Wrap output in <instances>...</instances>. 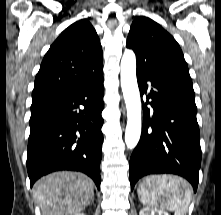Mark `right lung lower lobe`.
Wrapping results in <instances>:
<instances>
[{
    "label": "right lung lower lobe",
    "mask_w": 221,
    "mask_h": 215,
    "mask_svg": "<svg viewBox=\"0 0 221 215\" xmlns=\"http://www.w3.org/2000/svg\"><path fill=\"white\" fill-rule=\"evenodd\" d=\"M103 95L102 75L31 108L27 154L31 187L48 173L74 170L90 176L100 189Z\"/></svg>",
    "instance_id": "98d812e1"
}]
</instances>
